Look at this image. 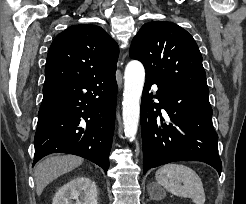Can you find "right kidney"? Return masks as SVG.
I'll list each match as a JSON object with an SVG mask.
<instances>
[{
    "instance_id": "ca27d5eb",
    "label": "right kidney",
    "mask_w": 246,
    "mask_h": 204,
    "mask_svg": "<svg viewBox=\"0 0 246 204\" xmlns=\"http://www.w3.org/2000/svg\"><path fill=\"white\" fill-rule=\"evenodd\" d=\"M52 204H98L97 186L87 177H76L56 192Z\"/></svg>"
}]
</instances>
